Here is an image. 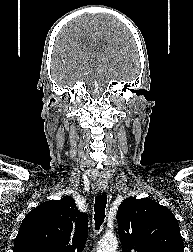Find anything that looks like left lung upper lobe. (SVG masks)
<instances>
[{
	"mask_svg": "<svg viewBox=\"0 0 193 252\" xmlns=\"http://www.w3.org/2000/svg\"><path fill=\"white\" fill-rule=\"evenodd\" d=\"M117 221L123 252H184L177 219L151 199H125Z\"/></svg>",
	"mask_w": 193,
	"mask_h": 252,
	"instance_id": "left-lung-upper-lobe-1",
	"label": "left lung upper lobe"
}]
</instances>
